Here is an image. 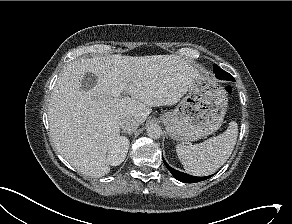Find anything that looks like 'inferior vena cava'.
Returning <instances> with one entry per match:
<instances>
[{"mask_svg": "<svg viewBox=\"0 0 292 224\" xmlns=\"http://www.w3.org/2000/svg\"><path fill=\"white\" fill-rule=\"evenodd\" d=\"M119 126L124 131L133 132L138 128L139 123L137 122L136 119L129 116H125L119 119Z\"/></svg>", "mask_w": 292, "mask_h": 224, "instance_id": "1", "label": "inferior vena cava"}]
</instances>
